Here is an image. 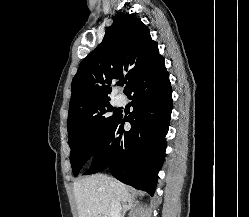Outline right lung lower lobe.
<instances>
[{
    "mask_svg": "<svg viewBox=\"0 0 249 217\" xmlns=\"http://www.w3.org/2000/svg\"><path fill=\"white\" fill-rule=\"evenodd\" d=\"M125 94L134 110L128 117L120 114L85 174L109 168L121 182L153 195L172 111L169 74L160 54ZM125 121L131 124L129 131L124 130Z\"/></svg>",
    "mask_w": 249,
    "mask_h": 217,
    "instance_id": "right-lung-lower-lobe-1",
    "label": "right lung lower lobe"
}]
</instances>
